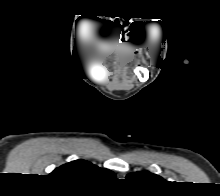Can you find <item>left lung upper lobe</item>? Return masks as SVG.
I'll return each mask as SVG.
<instances>
[{
	"label": "left lung upper lobe",
	"mask_w": 220,
	"mask_h": 196,
	"mask_svg": "<svg viewBox=\"0 0 220 196\" xmlns=\"http://www.w3.org/2000/svg\"><path fill=\"white\" fill-rule=\"evenodd\" d=\"M126 179L140 183H153L163 180L160 176L152 174L148 171H141L128 174Z\"/></svg>",
	"instance_id": "5c2ea615"
}]
</instances>
